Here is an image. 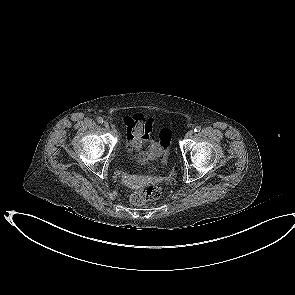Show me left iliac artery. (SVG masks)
Here are the masks:
<instances>
[{"mask_svg":"<svg viewBox=\"0 0 295 295\" xmlns=\"http://www.w3.org/2000/svg\"><path fill=\"white\" fill-rule=\"evenodd\" d=\"M200 130H201V127H200V126H196V127L194 128V132H200Z\"/></svg>","mask_w":295,"mask_h":295,"instance_id":"44dca946","label":"left iliac artery"}]
</instances>
